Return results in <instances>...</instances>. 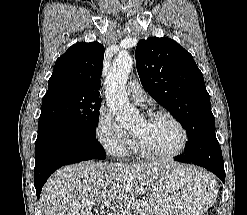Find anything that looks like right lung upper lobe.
<instances>
[{
  "mask_svg": "<svg viewBox=\"0 0 247 215\" xmlns=\"http://www.w3.org/2000/svg\"><path fill=\"white\" fill-rule=\"evenodd\" d=\"M104 47L98 42L76 43L55 63L48 92L67 88L75 93L100 98Z\"/></svg>",
  "mask_w": 247,
  "mask_h": 215,
  "instance_id": "obj_1",
  "label": "right lung upper lobe"
}]
</instances>
